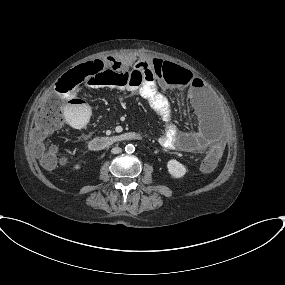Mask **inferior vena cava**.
Listing matches in <instances>:
<instances>
[{
  "instance_id": "obj_1",
  "label": "inferior vena cava",
  "mask_w": 285,
  "mask_h": 285,
  "mask_svg": "<svg viewBox=\"0 0 285 285\" xmlns=\"http://www.w3.org/2000/svg\"><path fill=\"white\" fill-rule=\"evenodd\" d=\"M121 151H122V149H121L120 147H114V148H112V150H111V152H112L113 154H119V153H121Z\"/></svg>"
}]
</instances>
